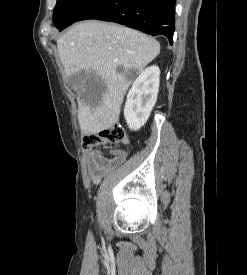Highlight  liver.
<instances>
[{
	"mask_svg": "<svg viewBox=\"0 0 247 275\" xmlns=\"http://www.w3.org/2000/svg\"><path fill=\"white\" fill-rule=\"evenodd\" d=\"M65 76L80 71L93 72L105 84L104 92L78 100V122L83 134H97L114 126L133 71H141L160 53L154 38L134 29L85 21L57 40Z\"/></svg>",
	"mask_w": 247,
	"mask_h": 275,
	"instance_id": "liver-1",
	"label": "liver"
}]
</instances>
